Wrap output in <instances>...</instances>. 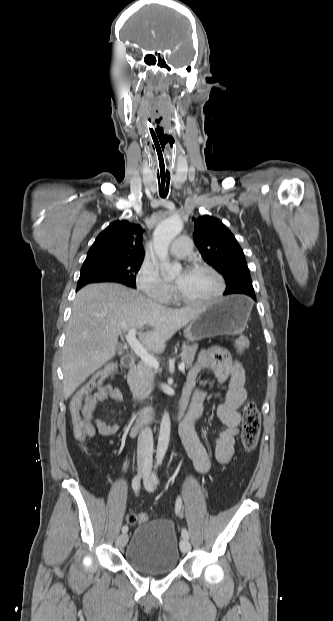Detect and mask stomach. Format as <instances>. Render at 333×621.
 Wrapping results in <instances>:
<instances>
[{"instance_id":"0dacf381","label":"stomach","mask_w":333,"mask_h":621,"mask_svg":"<svg viewBox=\"0 0 333 621\" xmlns=\"http://www.w3.org/2000/svg\"><path fill=\"white\" fill-rule=\"evenodd\" d=\"M246 296H229L205 306L189 324L188 341L239 333L246 325L252 309Z\"/></svg>"}]
</instances>
